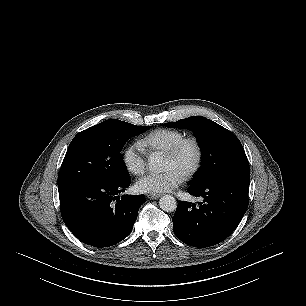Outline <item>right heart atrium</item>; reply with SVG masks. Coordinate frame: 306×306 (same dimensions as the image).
I'll return each instance as SVG.
<instances>
[{
  "label": "right heart atrium",
  "instance_id": "obj_1",
  "mask_svg": "<svg viewBox=\"0 0 306 306\" xmlns=\"http://www.w3.org/2000/svg\"><path fill=\"white\" fill-rule=\"evenodd\" d=\"M122 159L125 168L133 175H142L147 168V154L140 143L129 144L123 151Z\"/></svg>",
  "mask_w": 306,
  "mask_h": 306
}]
</instances>
